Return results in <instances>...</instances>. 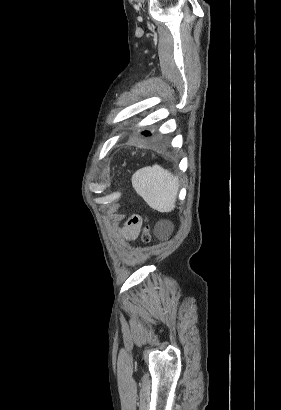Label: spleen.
<instances>
[{"label":"spleen","instance_id":"3e777b00","mask_svg":"<svg viewBox=\"0 0 281 410\" xmlns=\"http://www.w3.org/2000/svg\"><path fill=\"white\" fill-rule=\"evenodd\" d=\"M132 186L152 209L164 213L175 208L179 180L161 166L155 164L136 171Z\"/></svg>","mask_w":281,"mask_h":410}]
</instances>
